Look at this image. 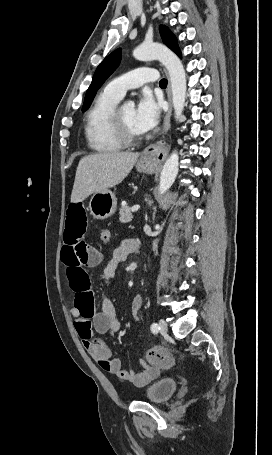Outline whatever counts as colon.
Segmentation results:
<instances>
[{
	"instance_id": "colon-1",
	"label": "colon",
	"mask_w": 272,
	"mask_h": 455,
	"mask_svg": "<svg viewBox=\"0 0 272 455\" xmlns=\"http://www.w3.org/2000/svg\"><path fill=\"white\" fill-rule=\"evenodd\" d=\"M111 239V232L108 228L100 230V240L103 244H108ZM146 359L149 363L162 367H171L175 360L174 357L162 347H154L146 352Z\"/></svg>"
}]
</instances>
